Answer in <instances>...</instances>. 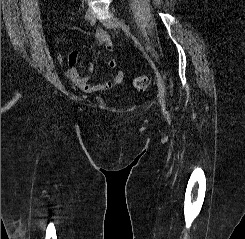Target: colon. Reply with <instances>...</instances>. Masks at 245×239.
I'll list each match as a JSON object with an SVG mask.
<instances>
[{
    "label": "colon",
    "instance_id": "colon-1",
    "mask_svg": "<svg viewBox=\"0 0 245 239\" xmlns=\"http://www.w3.org/2000/svg\"><path fill=\"white\" fill-rule=\"evenodd\" d=\"M151 79L146 75L138 76L134 80V86L138 91H145L150 86Z\"/></svg>",
    "mask_w": 245,
    "mask_h": 239
}]
</instances>
